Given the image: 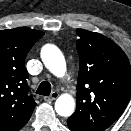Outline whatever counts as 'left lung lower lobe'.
Masks as SVG:
<instances>
[{
	"mask_svg": "<svg viewBox=\"0 0 131 131\" xmlns=\"http://www.w3.org/2000/svg\"><path fill=\"white\" fill-rule=\"evenodd\" d=\"M67 125L72 131H90L84 125L79 123L77 120L72 119L70 117L67 120Z\"/></svg>",
	"mask_w": 131,
	"mask_h": 131,
	"instance_id": "0a47b994",
	"label": "left lung lower lobe"
}]
</instances>
